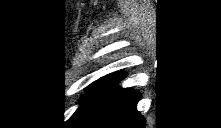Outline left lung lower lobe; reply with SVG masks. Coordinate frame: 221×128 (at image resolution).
I'll return each mask as SVG.
<instances>
[{
    "label": "left lung lower lobe",
    "mask_w": 221,
    "mask_h": 128,
    "mask_svg": "<svg viewBox=\"0 0 221 128\" xmlns=\"http://www.w3.org/2000/svg\"><path fill=\"white\" fill-rule=\"evenodd\" d=\"M140 93L130 88L112 87L94 104L67 122V128H145L137 111Z\"/></svg>",
    "instance_id": "left-lung-lower-lobe-1"
}]
</instances>
